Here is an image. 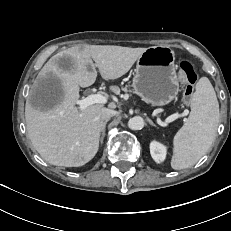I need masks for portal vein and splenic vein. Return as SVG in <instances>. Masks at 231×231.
<instances>
[{
    "label": "portal vein and splenic vein",
    "mask_w": 231,
    "mask_h": 231,
    "mask_svg": "<svg viewBox=\"0 0 231 231\" xmlns=\"http://www.w3.org/2000/svg\"><path fill=\"white\" fill-rule=\"evenodd\" d=\"M106 102H107V98L104 95L97 93V94H90L86 98H83L81 100H77L76 104L79 105L80 110H84L90 105L98 104V103L104 104ZM180 116L181 115H179V114H173V115L168 117L166 122H162V121L158 120V124L161 126H166L167 123L174 121L175 119L179 118Z\"/></svg>",
    "instance_id": "portal-vein-and-splenic-vein-1"
}]
</instances>
